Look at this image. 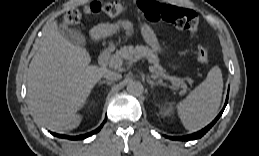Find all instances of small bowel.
Instances as JSON below:
<instances>
[{"instance_id": "1", "label": "small bowel", "mask_w": 259, "mask_h": 156, "mask_svg": "<svg viewBox=\"0 0 259 156\" xmlns=\"http://www.w3.org/2000/svg\"><path fill=\"white\" fill-rule=\"evenodd\" d=\"M131 28L132 26L129 22H118L115 24L100 23L93 29V34L95 37H101L104 35H108L118 29L130 31Z\"/></svg>"}]
</instances>
